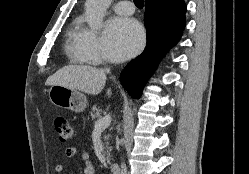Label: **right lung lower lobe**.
<instances>
[{"instance_id":"98d812e1","label":"right lung lower lobe","mask_w":249,"mask_h":174,"mask_svg":"<svg viewBox=\"0 0 249 174\" xmlns=\"http://www.w3.org/2000/svg\"><path fill=\"white\" fill-rule=\"evenodd\" d=\"M185 12L183 0L146 1V48L127 65L121 75L122 85L132 97L141 96L142 88L164 54L179 41L185 28Z\"/></svg>"}]
</instances>
